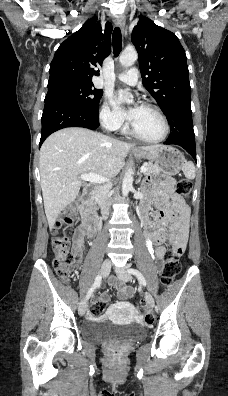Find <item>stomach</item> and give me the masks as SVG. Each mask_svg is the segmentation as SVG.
I'll list each match as a JSON object with an SVG mask.
<instances>
[{"label":"stomach","mask_w":228,"mask_h":396,"mask_svg":"<svg viewBox=\"0 0 228 396\" xmlns=\"http://www.w3.org/2000/svg\"><path fill=\"white\" fill-rule=\"evenodd\" d=\"M134 154L138 158H144L154 162L160 172L167 175H176L179 173L186 162L183 154L171 146H162L152 151L135 149Z\"/></svg>","instance_id":"0dacf381"}]
</instances>
